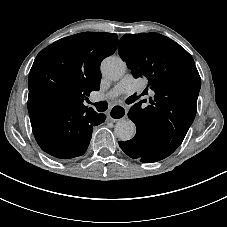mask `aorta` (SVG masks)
I'll use <instances>...</instances> for the list:
<instances>
[{
    "mask_svg": "<svg viewBox=\"0 0 227 227\" xmlns=\"http://www.w3.org/2000/svg\"><path fill=\"white\" fill-rule=\"evenodd\" d=\"M126 71V63L116 56H109L101 63V72L111 80L120 79ZM136 126L131 120H119L115 125V134L121 141H128L135 136Z\"/></svg>",
    "mask_w": 227,
    "mask_h": 227,
    "instance_id": "1",
    "label": "aorta"
}]
</instances>
